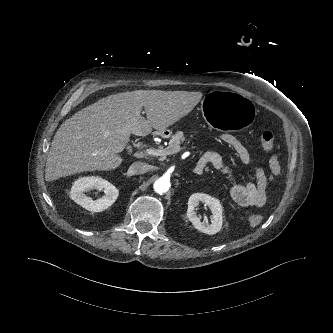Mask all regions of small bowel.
Masks as SVG:
<instances>
[{
    "label": "small bowel",
    "instance_id": "c3829d8e",
    "mask_svg": "<svg viewBox=\"0 0 333 333\" xmlns=\"http://www.w3.org/2000/svg\"><path fill=\"white\" fill-rule=\"evenodd\" d=\"M220 140L234 150L239 160L244 165H251L252 158L249 150L234 135L222 133ZM203 166L202 172L207 165L213 166L218 172L224 175L231 184V196L239 205L262 207L270 197L268 189L269 182L274 181L281 172L279 160L272 156L269 160L270 173L267 175L264 170L254 165V182L241 184L238 182L233 170L224 162L222 156L216 151L207 152L198 162Z\"/></svg>",
    "mask_w": 333,
    "mask_h": 333
}]
</instances>
